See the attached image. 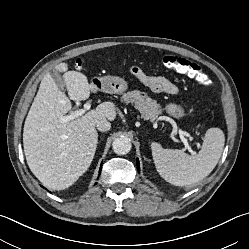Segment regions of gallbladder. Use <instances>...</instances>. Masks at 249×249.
Listing matches in <instances>:
<instances>
[{"instance_id": "gallbladder-1", "label": "gallbladder", "mask_w": 249, "mask_h": 249, "mask_svg": "<svg viewBox=\"0 0 249 249\" xmlns=\"http://www.w3.org/2000/svg\"><path fill=\"white\" fill-rule=\"evenodd\" d=\"M50 73L52 77L54 78L58 88L60 90H65L66 86H65L62 74L56 69H53Z\"/></svg>"}]
</instances>
